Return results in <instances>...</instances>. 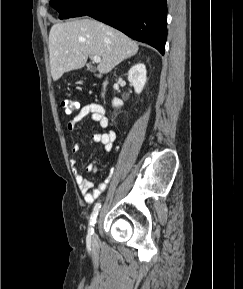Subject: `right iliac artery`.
Listing matches in <instances>:
<instances>
[{
  "label": "right iliac artery",
  "instance_id": "1",
  "mask_svg": "<svg viewBox=\"0 0 243 289\" xmlns=\"http://www.w3.org/2000/svg\"><path fill=\"white\" fill-rule=\"evenodd\" d=\"M101 208V203H96V205L94 206L93 212L90 216V221H89V227H88V237L91 238V236L94 233V224L96 222V217L98 215V212Z\"/></svg>",
  "mask_w": 243,
  "mask_h": 289
}]
</instances>
